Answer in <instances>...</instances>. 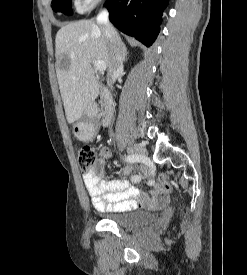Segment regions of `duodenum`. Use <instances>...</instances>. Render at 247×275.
Wrapping results in <instances>:
<instances>
[{"mask_svg": "<svg viewBox=\"0 0 247 275\" xmlns=\"http://www.w3.org/2000/svg\"><path fill=\"white\" fill-rule=\"evenodd\" d=\"M95 108V105L88 107V112H92ZM114 101L109 91H102L99 95V120L102 126L108 124L111 119V116L114 112Z\"/></svg>", "mask_w": 247, "mask_h": 275, "instance_id": "duodenum-1", "label": "duodenum"}]
</instances>
